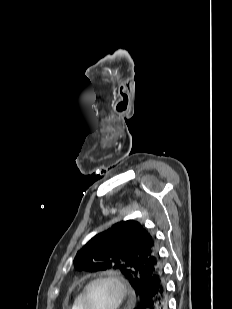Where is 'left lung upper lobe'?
<instances>
[{
	"instance_id": "left-lung-upper-lobe-1",
	"label": "left lung upper lobe",
	"mask_w": 232,
	"mask_h": 309,
	"mask_svg": "<svg viewBox=\"0 0 232 309\" xmlns=\"http://www.w3.org/2000/svg\"><path fill=\"white\" fill-rule=\"evenodd\" d=\"M77 270H119L138 300L151 275L161 268L156 238L137 221H121L95 235L76 255Z\"/></svg>"
}]
</instances>
